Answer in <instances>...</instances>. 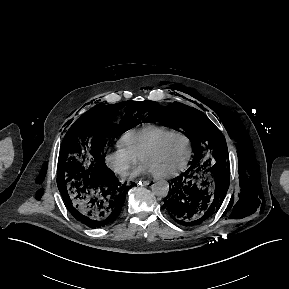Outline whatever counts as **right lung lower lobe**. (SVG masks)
<instances>
[{"label": "right lung lower lobe", "mask_w": 289, "mask_h": 289, "mask_svg": "<svg viewBox=\"0 0 289 289\" xmlns=\"http://www.w3.org/2000/svg\"><path fill=\"white\" fill-rule=\"evenodd\" d=\"M131 186L122 185L113 171L103 165L82 172L60 193L75 219L90 228H102L117 220Z\"/></svg>", "instance_id": "right-lung-lower-lobe-1"}]
</instances>
